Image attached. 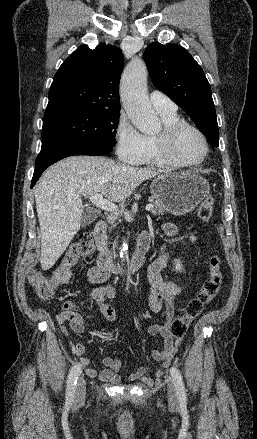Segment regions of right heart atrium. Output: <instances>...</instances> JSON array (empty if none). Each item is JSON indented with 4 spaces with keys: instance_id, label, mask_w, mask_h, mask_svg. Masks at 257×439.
Masks as SVG:
<instances>
[{
    "instance_id": "d8ad5b80",
    "label": "right heart atrium",
    "mask_w": 257,
    "mask_h": 439,
    "mask_svg": "<svg viewBox=\"0 0 257 439\" xmlns=\"http://www.w3.org/2000/svg\"><path fill=\"white\" fill-rule=\"evenodd\" d=\"M115 140L117 155L124 162H137L145 151L144 135L134 127L129 118L124 114L119 118Z\"/></svg>"
}]
</instances>
